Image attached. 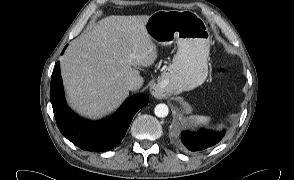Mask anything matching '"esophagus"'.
Listing matches in <instances>:
<instances>
[{"instance_id": "1", "label": "esophagus", "mask_w": 294, "mask_h": 180, "mask_svg": "<svg viewBox=\"0 0 294 180\" xmlns=\"http://www.w3.org/2000/svg\"><path fill=\"white\" fill-rule=\"evenodd\" d=\"M150 94L156 99H162L164 96L163 91L158 84H153L150 87Z\"/></svg>"}]
</instances>
